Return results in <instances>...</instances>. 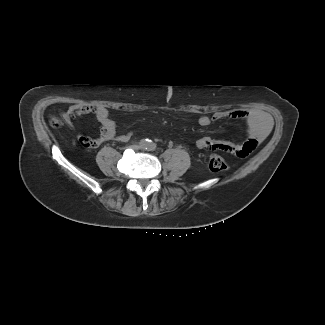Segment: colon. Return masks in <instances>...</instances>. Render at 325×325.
<instances>
[{
	"mask_svg": "<svg viewBox=\"0 0 325 325\" xmlns=\"http://www.w3.org/2000/svg\"><path fill=\"white\" fill-rule=\"evenodd\" d=\"M50 123L56 128L62 124L61 120L58 118H52L50 120ZM208 165L210 170L214 173L225 171L228 168V164L225 159L216 154H213L209 157Z\"/></svg>",
	"mask_w": 325,
	"mask_h": 325,
	"instance_id": "obj_1",
	"label": "colon"
}]
</instances>
